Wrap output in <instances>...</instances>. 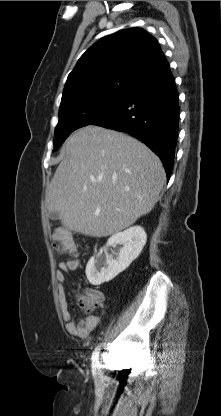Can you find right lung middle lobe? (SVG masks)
<instances>
[{"instance_id": "obj_1", "label": "right lung middle lobe", "mask_w": 221, "mask_h": 416, "mask_svg": "<svg viewBox=\"0 0 221 416\" xmlns=\"http://www.w3.org/2000/svg\"><path fill=\"white\" fill-rule=\"evenodd\" d=\"M131 91L125 88H107L61 104L53 151H56L74 130L110 115Z\"/></svg>"}]
</instances>
